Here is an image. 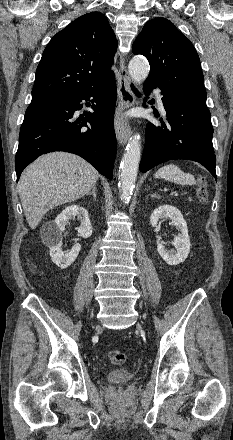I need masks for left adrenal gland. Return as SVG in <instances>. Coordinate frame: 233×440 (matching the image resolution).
<instances>
[{
	"label": "left adrenal gland",
	"mask_w": 233,
	"mask_h": 440,
	"mask_svg": "<svg viewBox=\"0 0 233 440\" xmlns=\"http://www.w3.org/2000/svg\"><path fill=\"white\" fill-rule=\"evenodd\" d=\"M150 197H151V198L160 199V196L157 195L156 193H152V194H150Z\"/></svg>",
	"instance_id": "obj_1"
}]
</instances>
